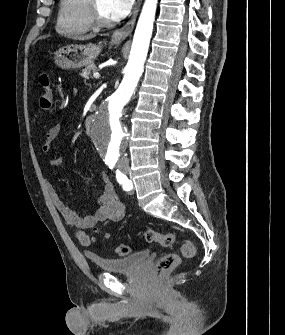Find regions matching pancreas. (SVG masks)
<instances>
[{"label": "pancreas", "instance_id": "pancreas-1", "mask_svg": "<svg viewBox=\"0 0 285 335\" xmlns=\"http://www.w3.org/2000/svg\"><path fill=\"white\" fill-rule=\"evenodd\" d=\"M91 72H97V66H95V64H89V66H86V68L82 70L81 76H83V79L85 81H88L90 79Z\"/></svg>", "mask_w": 285, "mask_h": 335}]
</instances>
